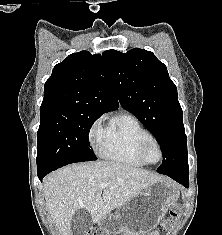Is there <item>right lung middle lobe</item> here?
Instances as JSON below:
<instances>
[{
    "label": "right lung middle lobe",
    "mask_w": 222,
    "mask_h": 235,
    "mask_svg": "<svg viewBox=\"0 0 222 235\" xmlns=\"http://www.w3.org/2000/svg\"><path fill=\"white\" fill-rule=\"evenodd\" d=\"M101 115L71 109H54L40 113L37 172L96 160L93 150L89 147L88 134L95 120Z\"/></svg>",
    "instance_id": "1"
}]
</instances>
